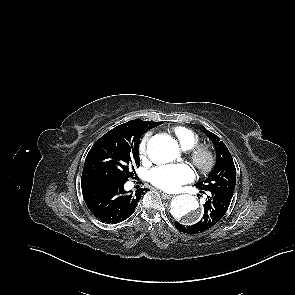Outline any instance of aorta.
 Masks as SVG:
<instances>
[{"label": "aorta", "instance_id": "1", "mask_svg": "<svg viewBox=\"0 0 295 295\" xmlns=\"http://www.w3.org/2000/svg\"><path fill=\"white\" fill-rule=\"evenodd\" d=\"M149 158L156 163H169L180 156L178 143L168 135L153 136L147 145ZM198 202L191 195H178L170 205L172 216L187 224L195 223L199 220Z\"/></svg>", "mask_w": 295, "mask_h": 295}]
</instances>
